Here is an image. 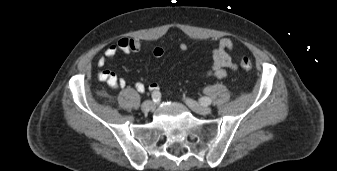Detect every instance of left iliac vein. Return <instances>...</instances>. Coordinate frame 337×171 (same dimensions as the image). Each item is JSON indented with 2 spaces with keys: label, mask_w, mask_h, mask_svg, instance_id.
<instances>
[{
  "label": "left iliac vein",
  "mask_w": 337,
  "mask_h": 171,
  "mask_svg": "<svg viewBox=\"0 0 337 171\" xmlns=\"http://www.w3.org/2000/svg\"><path fill=\"white\" fill-rule=\"evenodd\" d=\"M185 102L194 112L200 115H208L211 113L210 107L201 105L192 99L187 98Z\"/></svg>",
  "instance_id": "1"
}]
</instances>
